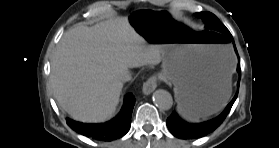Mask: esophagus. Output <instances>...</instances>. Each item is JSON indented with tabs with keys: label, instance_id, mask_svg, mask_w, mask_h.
<instances>
[{
	"label": "esophagus",
	"instance_id": "esophagus-1",
	"mask_svg": "<svg viewBox=\"0 0 279 148\" xmlns=\"http://www.w3.org/2000/svg\"><path fill=\"white\" fill-rule=\"evenodd\" d=\"M157 80V75H152L144 82L142 90L145 95H149L155 90L157 87Z\"/></svg>",
	"mask_w": 279,
	"mask_h": 148
}]
</instances>
